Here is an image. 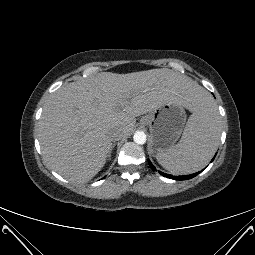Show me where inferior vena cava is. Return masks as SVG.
Listing matches in <instances>:
<instances>
[{"instance_id": "602c4592", "label": "inferior vena cava", "mask_w": 255, "mask_h": 255, "mask_svg": "<svg viewBox=\"0 0 255 255\" xmlns=\"http://www.w3.org/2000/svg\"><path fill=\"white\" fill-rule=\"evenodd\" d=\"M111 141L115 142L123 138V133L120 130H114L110 133Z\"/></svg>"}]
</instances>
